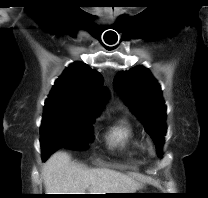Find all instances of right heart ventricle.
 Listing matches in <instances>:
<instances>
[{
    "instance_id": "1",
    "label": "right heart ventricle",
    "mask_w": 208,
    "mask_h": 198,
    "mask_svg": "<svg viewBox=\"0 0 208 198\" xmlns=\"http://www.w3.org/2000/svg\"><path fill=\"white\" fill-rule=\"evenodd\" d=\"M106 141L109 146L129 154L135 153L140 147L139 138L126 119H120L109 126Z\"/></svg>"
}]
</instances>
